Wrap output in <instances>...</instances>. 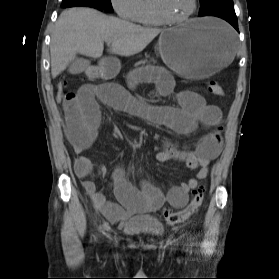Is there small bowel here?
<instances>
[{"label": "small bowel", "mask_w": 279, "mask_h": 279, "mask_svg": "<svg viewBox=\"0 0 279 279\" xmlns=\"http://www.w3.org/2000/svg\"><path fill=\"white\" fill-rule=\"evenodd\" d=\"M142 81L154 82L157 95L174 94V83L170 74L162 68L153 67L131 71L127 76L128 88L114 83L87 84L77 91L68 92L62 101L64 132L75 153L79 155L74 167L76 176L96 208L113 221L123 219L126 212H155L165 202L175 208L184 207L189 191L198 186V180L207 177L210 162L219 156L222 148V115L217 106L208 104L195 89H183L175 93L178 107L148 105L136 99L129 91V88ZM100 103L179 134H190L199 124L215 127L214 132L198 140L193 150H179L166 140L162 150L156 153V159L159 161L183 162L188 168L196 171L195 178L170 188L164 194L147 181H143L140 186L131 184L125 179L123 170L116 167L113 179L119 203L107 200L90 178L95 169L93 163L82 155L97 139L101 124ZM114 134L117 135V132L114 131ZM97 171L102 176L107 172L105 167H99Z\"/></svg>", "instance_id": "obj_1"}]
</instances>
